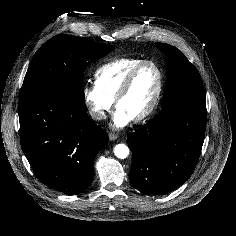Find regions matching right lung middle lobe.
Returning a JSON list of instances; mask_svg holds the SVG:
<instances>
[{
	"label": "right lung middle lobe",
	"instance_id": "obj_1",
	"mask_svg": "<svg viewBox=\"0 0 236 236\" xmlns=\"http://www.w3.org/2000/svg\"><path fill=\"white\" fill-rule=\"evenodd\" d=\"M112 50V45L83 37L62 34L54 36L33 57L24 78L20 98L47 92L83 100L82 82L87 65Z\"/></svg>",
	"mask_w": 236,
	"mask_h": 236
}]
</instances>
